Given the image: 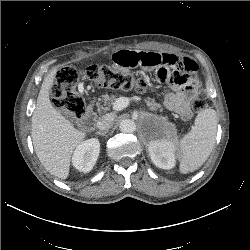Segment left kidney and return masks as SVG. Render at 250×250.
<instances>
[{
    "mask_svg": "<svg viewBox=\"0 0 250 250\" xmlns=\"http://www.w3.org/2000/svg\"><path fill=\"white\" fill-rule=\"evenodd\" d=\"M152 162L159 168L172 169L176 163L177 143L171 139H159L149 143Z\"/></svg>",
    "mask_w": 250,
    "mask_h": 250,
    "instance_id": "1",
    "label": "left kidney"
}]
</instances>
